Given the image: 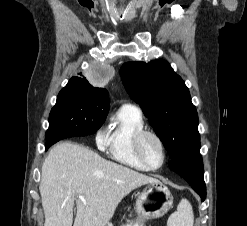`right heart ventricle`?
Wrapping results in <instances>:
<instances>
[{
    "instance_id": "obj_1",
    "label": "right heart ventricle",
    "mask_w": 247,
    "mask_h": 226,
    "mask_svg": "<svg viewBox=\"0 0 247 226\" xmlns=\"http://www.w3.org/2000/svg\"><path fill=\"white\" fill-rule=\"evenodd\" d=\"M142 129L144 121L140 110L132 105L122 106L108 129L105 145L108 155L130 168L149 170L137 159L133 148L134 136Z\"/></svg>"
}]
</instances>
